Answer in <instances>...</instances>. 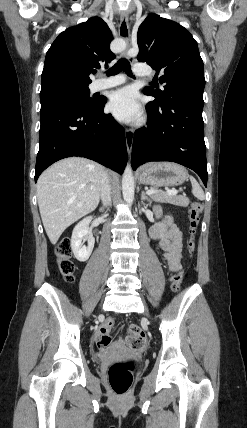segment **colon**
Instances as JSON below:
<instances>
[{
	"label": "colon",
	"instance_id": "1",
	"mask_svg": "<svg viewBox=\"0 0 247 428\" xmlns=\"http://www.w3.org/2000/svg\"><path fill=\"white\" fill-rule=\"evenodd\" d=\"M202 205L199 202H192L188 211V233L187 251L192 253L195 249L194 237L202 212ZM57 265L59 271L67 281H72L75 272V263L72 260V245L69 238H63L59 241L56 247ZM183 280V272L176 271L170 278L171 287L174 291H178ZM115 324V319L110 317L102 325L99 347L106 348L111 343V338L108 335L109 331ZM125 344L134 350H142L146 345V338L141 328L135 324H131L127 330ZM134 364L131 361L116 362L112 364L108 370L109 383L115 394L124 395L130 388L133 380Z\"/></svg>",
	"mask_w": 247,
	"mask_h": 428
}]
</instances>
